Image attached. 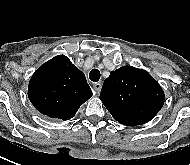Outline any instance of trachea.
<instances>
[{"mask_svg": "<svg viewBox=\"0 0 190 165\" xmlns=\"http://www.w3.org/2000/svg\"><path fill=\"white\" fill-rule=\"evenodd\" d=\"M89 78L93 82H97L100 79V71L98 69H92L89 73Z\"/></svg>", "mask_w": 190, "mask_h": 165, "instance_id": "obj_1", "label": "trachea"}]
</instances>
